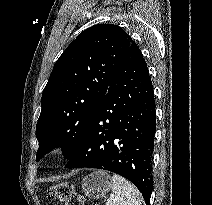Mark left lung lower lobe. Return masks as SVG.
<instances>
[{
	"instance_id": "1",
	"label": "left lung lower lobe",
	"mask_w": 212,
	"mask_h": 205,
	"mask_svg": "<svg viewBox=\"0 0 212 205\" xmlns=\"http://www.w3.org/2000/svg\"><path fill=\"white\" fill-rule=\"evenodd\" d=\"M156 111L146 62L135 42L115 70L85 137L65 168H98L130 180L150 205Z\"/></svg>"
}]
</instances>
